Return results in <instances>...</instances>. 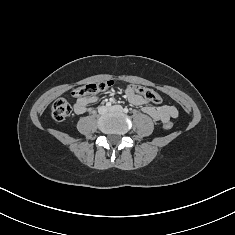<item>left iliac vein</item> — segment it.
Listing matches in <instances>:
<instances>
[{
    "label": "left iliac vein",
    "instance_id": "obj_1",
    "mask_svg": "<svg viewBox=\"0 0 235 235\" xmlns=\"http://www.w3.org/2000/svg\"><path fill=\"white\" fill-rule=\"evenodd\" d=\"M110 112H122L123 108L120 105H114L112 107L109 108Z\"/></svg>",
    "mask_w": 235,
    "mask_h": 235
}]
</instances>
